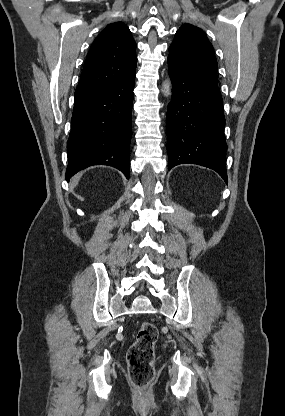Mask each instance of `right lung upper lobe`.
<instances>
[{"label":"right lung upper lobe","instance_id":"cb5924a9","mask_svg":"<svg viewBox=\"0 0 285 416\" xmlns=\"http://www.w3.org/2000/svg\"><path fill=\"white\" fill-rule=\"evenodd\" d=\"M136 46L124 23L107 25L91 45L75 91V100L107 90L134 74Z\"/></svg>","mask_w":285,"mask_h":416}]
</instances>
